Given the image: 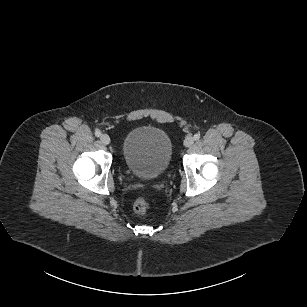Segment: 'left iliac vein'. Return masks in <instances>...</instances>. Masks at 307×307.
Instances as JSON below:
<instances>
[{
	"label": "left iliac vein",
	"mask_w": 307,
	"mask_h": 307,
	"mask_svg": "<svg viewBox=\"0 0 307 307\" xmlns=\"http://www.w3.org/2000/svg\"><path fill=\"white\" fill-rule=\"evenodd\" d=\"M194 143V139L192 137H187L185 140H184V145L186 147H190L192 146V144Z\"/></svg>",
	"instance_id": "obj_1"
}]
</instances>
